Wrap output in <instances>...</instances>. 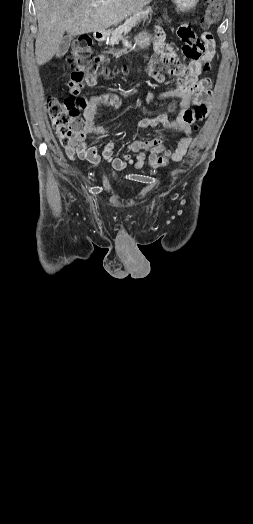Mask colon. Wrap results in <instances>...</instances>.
I'll return each mask as SVG.
<instances>
[{
    "label": "colon",
    "instance_id": "obj_1",
    "mask_svg": "<svg viewBox=\"0 0 253 524\" xmlns=\"http://www.w3.org/2000/svg\"><path fill=\"white\" fill-rule=\"evenodd\" d=\"M221 12L222 0H206L201 28L213 27L219 21ZM66 62L72 69L68 93L62 98L50 97L47 109L61 145L69 147L84 128L81 112L87 108L88 102L81 90L85 84L94 85L100 77L109 76L112 71L109 69L110 53L93 55L92 39L88 35H80L72 42ZM191 112L195 123L202 122L207 116V109L203 104L197 105ZM180 158L178 151L166 150L163 154L151 155L149 162L153 167H163Z\"/></svg>",
    "mask_w": 253,
    "mask_h": 524
}]
</instances>
